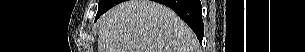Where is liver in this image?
<instances>
[{"instance_id": "obj_1", "label": "liver", "mask_w": 305, "mask_h": 52, "mask_svg": "<svg viewBox=\"0 0 305 52\" xmlns=\"http://www.w3.org/2000/svg\"><path fill=\"white\" fill-rule=\"evenodd\" d=\"M192 30L165 5L124 1L99 20L98 52H198Z\"/></svg>"}]
</instances>
